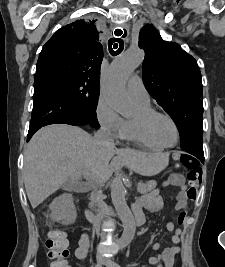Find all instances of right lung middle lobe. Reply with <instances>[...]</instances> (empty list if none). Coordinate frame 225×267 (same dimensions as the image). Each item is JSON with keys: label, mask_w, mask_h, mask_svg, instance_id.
I'll return each mask as SVG.
<instances>
[{"label": "right lung middle lobe", "mask_w": 225, "mask_h": 267, "mask_svg": "<svg viewBox=\"0 0 225 267\" xmlns=\"http://www.w3.org/2000/svg\"><path fill=\"white\" fill-rule=\"evenodd\" d=\"M48 77L66 91L93 127H100L96 116L99 85L83 78L63 74H51Z\"/></svg>", "instance_id": "right-lung-middle-lobe-1"}]
</instances>
